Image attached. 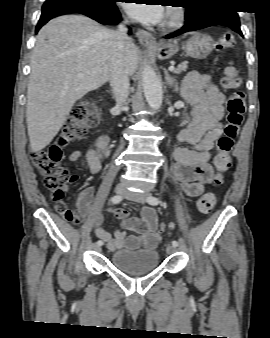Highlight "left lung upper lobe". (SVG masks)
Wrapping results in <instances>:
<instances>
[{
	"label": "left lung upper lobe",
	"mask_w": 270,
	"mask_h": 338,
	"mask_svg": "<svg viewBox=\"0 0 270 338\" xmlns=\"http://www.w3.org/2000/svg\"><path fill=\"white\" fill-rule=\"evenodd\" d=\"M229 0H186V19L193 22L202 15L225 6Z\"/></svg>",
	"instance_id": "1"
}]
</instances>
